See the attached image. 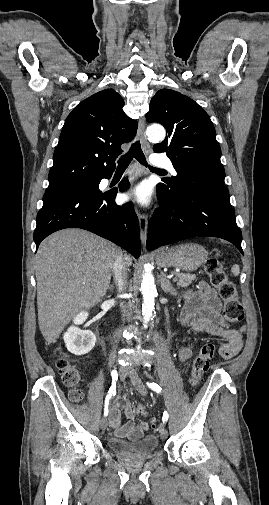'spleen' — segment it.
<instances>
[{
  "label": "spleen",
  "instance_id": "spleen-1",
  "mask_svg": "<svg viewBox=\"0 0 269 505\" xmlns=\"http://www.w3.org/2000/svg\"><path fill=\"white\" fill-rule=\"evenodd\" d=\"M231 272H232V274H233L234 276L239 275V272H240V268H239V266H238V265H234V266L232 267V269H231Z\"/></svg>",
  "mask_w": 269,
  "mask_h": 505
}]
</instances>
